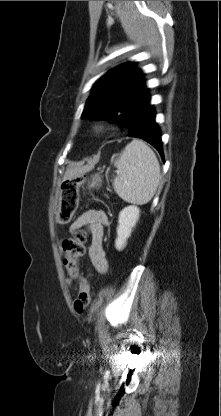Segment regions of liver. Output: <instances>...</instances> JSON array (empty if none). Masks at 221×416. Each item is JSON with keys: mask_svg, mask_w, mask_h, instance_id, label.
Masks as SVG:
<instances>
[{"mask_svg": "<svg viewBox=\"0 0 221 416\" xmlns=\"http://www.w3.org/2000/svg\"><path fill=\"white\" fill-rule=\"evenodd\" d=\"M91 167L90 166H82V167H71L68 168L64 174L63 181L67 179H71L75 176L84 174L87 172Z\"/></svg>", "mask_w": 221, "mask_h": 416, "instance_id": "1", "label": "liver"}]
</instances>
